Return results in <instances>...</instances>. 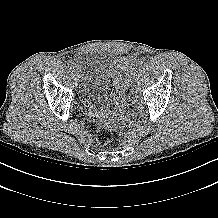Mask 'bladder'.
<instances>
[{"label":"bladder","mask_w":218,"mask_h":218,"mask_svg":"<svg viewBox=\"0 0 218 218\" xmlns=\"http://www.w3.org/2000/svg\"><path fill=\"white\" fill-rule=\"evenodd\" d=\"M79 72V99L86 109H110L120 98L124 82L134 70L130 57H105L90 52L76 56Z\"/></svg>","instance_id":"1"}]
</instances>
